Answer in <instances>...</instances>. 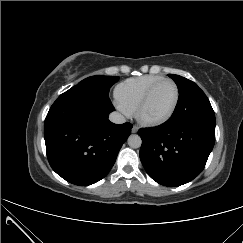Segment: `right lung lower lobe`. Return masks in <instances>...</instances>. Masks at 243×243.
Returning a JSON list of instances; mask_svg holds the SVG:
<instances>
[{
	"mask_svg": "<svg viewBox=\"0 0 243 243\" xmlns=\"http://www.w3.org/2000/svg\"><path fill=\"white\" fill-rule=\"evenodd\" d=\"M109 96L72 87L51 106L44 123L48 161L66 181L87 186L103 179L131 133L132 124H114Z\"/></svg>",
	"mask_w": 243,
	"mask_h": 243,
	"instance_id": "1",
	"label": "right lung lower lobe"
}]
</instances>
